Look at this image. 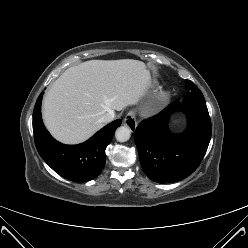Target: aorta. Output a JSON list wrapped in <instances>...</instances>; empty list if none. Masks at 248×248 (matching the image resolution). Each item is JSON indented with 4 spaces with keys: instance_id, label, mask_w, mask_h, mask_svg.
Masks as SVG:
<instances>
[{
    "instance_id": "1",
    "label": "aorta",
    "mask_w": 248,
    "mask_h": 248,
    "mask_svg": "<svg viewBox=\"0 0 248 248\" xmlns=\"http://www.w3.org/2000/svg\"><path fill=\"white\" fill-rule=\"evenodd\" d=\"M131 132L126 126L119 127L115 132L116 140L119 142H126L130 139Z\"/></svg>"
}]
</instances>
